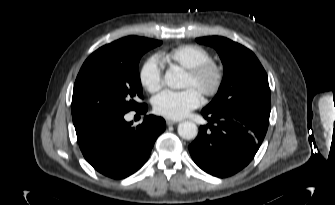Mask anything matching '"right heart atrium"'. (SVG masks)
<instances>
[{"label": "right heart atrium", "instance_id": "obj_1", "mask_svg": "<svg viewBox=\"0 0 335 205\" xmlns=\"http://www.w3.org/2000/svg\"><path fill=\"white\" fill-rule=\"evenodd\" d=\"M142 86L149 92H157L163 83V67L157 56L149 57L142 65L139 72Z\"/></svg>", "mask_w": 335, "mask_h": 205}]
</instances>
